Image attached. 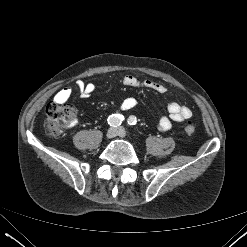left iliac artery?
I'll list each match as a JSON object with an SVG mask.
<instances>
[{"label": "left iliac artery", "mask_w": 247, "mask_h": 247, "mask_svg": "<svg viewBox=\"0 0 247 247\" xmlns=\"http://www.w3.org/2000/svg\"><path fill=\"white\" fill-rule=\"evenodd\" d=\"M137 122L136 120V117L135 116H130L128 119H127V123L129 126H133L135 125Z\"/></svg>", "instance_id": "obj_1"}]
</instances>
